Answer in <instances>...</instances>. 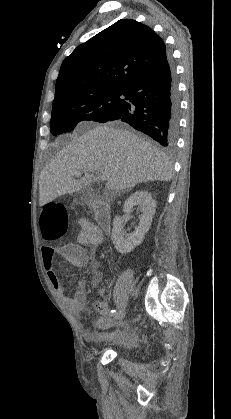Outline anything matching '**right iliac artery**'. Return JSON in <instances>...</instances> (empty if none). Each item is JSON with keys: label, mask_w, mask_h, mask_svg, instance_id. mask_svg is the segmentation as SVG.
Instances as JSON below:
<instances>
[{"label": "right iliac artery", "mask_w": 231, "mask_h": 419, "mask_svg": "<svg viewBox=\"0 0 231 419\" xmlns=\"http://www.w3.org/2000/svg\"><path fill=\"white\" fill-rule=\"evenodd\" d=\"M115 313H116V310H111V311H110V316L115 315Z\"/></svg>", "instance_id": "1"}]
</instances>
